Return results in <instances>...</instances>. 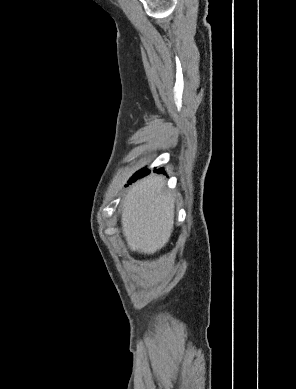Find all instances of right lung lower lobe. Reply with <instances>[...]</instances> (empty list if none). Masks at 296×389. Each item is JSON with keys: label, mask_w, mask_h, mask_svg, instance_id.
I'll return each instance as SVG.
<instances>
[{"label": "right lung lower lobe", "mask_w": 296, "mask_h": 389, "mask_svg": "<svg viewBox=\"0 0 296 389\" xmlns=\"http://www.w3.org/2000/svg\"><path fill=\"white\" fill-rule=\"evenodd\" d=\"M154 172H157V173H164V170L162 168L158 169V170H154ZM149 173V171L147 169H142L138 172H136L133 177L129 180V183L131 182H134L135 180H137L139 177H142V176H145Z\"/></svg>", "instance_id": "obj_1"}]
</instances>
